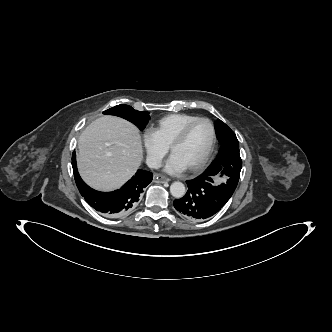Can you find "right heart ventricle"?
Masks as SVG:
<instances>
[{
    "label": "right heart ventricle",
    "instance_id": "obj_1",
    "mask_svg": "<svg viewBox=\"0 0 332 332\" xmlns=\"http://www.w3.org/2000/svg\"><path fill=\"white\" fill-rule=\"evenodd\" d=\"M198 118L195 115L175 113L160 118L151 128L159 141L169 147L184 125Z\"/></svg>",
    "mask_w": 332,
    "mask_h": 332
}]
</instances>
